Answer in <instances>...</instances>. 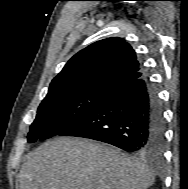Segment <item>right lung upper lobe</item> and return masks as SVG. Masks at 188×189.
<instances>
[{
	"label": "right lung upper lobe",
	"mask_w": 188,
	"mask_h": 189,
	"mask_svg": "<svg viewBox=\"0 0 188 189\" xmlns=\"http://www.w3.org/2000/svg\"><path fill=\"white\" fill-rule=\"evenodd\" d=\"M144 73L124 39L97 41L75 54L52 80L47 96L89 89L113 91Z\"/></svg>",
	"instance_id": "cb5924a9"
}]
</instances>
